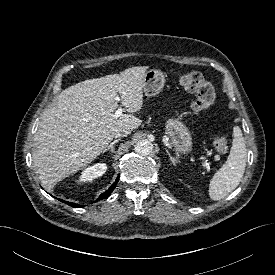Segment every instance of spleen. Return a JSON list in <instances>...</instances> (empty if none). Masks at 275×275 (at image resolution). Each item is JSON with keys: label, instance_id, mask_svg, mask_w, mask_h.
Returning a JSON list of instances; mask_svg holds the SVG:
<instances>
[{"label": "spleen", "instance_id": "spleen-1", "mask_svg": "<svg viewBox=\"0 0 275 275\" xmlns=\"http://www.w3.org/2000/svg\"><path fill=\"white\" fill-rule=\"evenodd\" d=\"M247 149L242 131L233 128V140L226 163L215 173L209 184V196L218 201L227 197L240 183L245 172Z\"/></svg>", "mask_w": 275, "mask_h": 275}]
</instances>
